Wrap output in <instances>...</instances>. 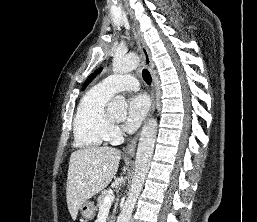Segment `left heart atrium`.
<instances>
[{
	"mask_svg": "<svg viewBox=\"0 0 257 222\" xmlns=\"http://www.w3.org/2000/svg\"><path fill=\"white\" fill-rule=\"evenodd\" d=\"M149 110V100L144 94H137L129 99L124 129L128 132L136 130L145 119Z\"/></svg>",
	"mask_w": 257,
	"mask_h": 222,
	"instance_id": "39dd6f15",
	"label": "left heart atrium"
}]
</instances>
